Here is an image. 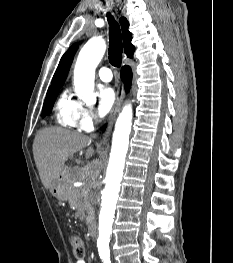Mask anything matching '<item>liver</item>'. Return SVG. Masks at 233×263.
<instances>
[{
  "instance_id": "liver-1",
  "label": "liver",
  "mask_w": 233,
  "mask_h": 263,
  "mask_svg": "<svg viewBox=\"0 0 233 263\" xmlns=\"http://www.w3.org/2000/svg\"><path fill=\"white\" fill-rule=\"evenodd\" d=\"M91 138L62 128H45L38 132L33 144V155L42 184L52 188L63 173L65 162L74 153L89 147ZM93 148L86 151V158L93 155Z\"/></svg>"
}]
</instances>
